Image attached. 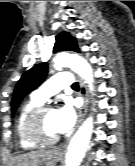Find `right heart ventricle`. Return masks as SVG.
<instances>
[{
  "label": "right heart ventricle",
  "instance_id": "e07e8e85",
  "mask_svg": "<svg viewBox=\"0 0 135 166\" xmlns=\"http://www.w3.org/2000/svg\"><path fill=\"white\" fill-rule=\"evenodd\" d=\"M42 103H43L42 101L36 99L35 97H32L28 101H26L24 104H22V106L20 107L18 111L16 121H15L14 132H15V136H16L18 144L23 149L30 150V149H34L38 147L39 145L38 143L28 139L24 135L22 126H23V121L27 113L31 111L32 109L42 105Z\"/></svg>",
  "mask_w": 135,
  "mask_h": 166
}]
</instances>
